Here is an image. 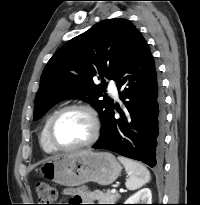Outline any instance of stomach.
I'll use <instances>...</instances> for the list:
<instances>
[{
  "mask_svg": "<svg viewBox=\"0 0 200 205\" xmlns=\"http://www.w3.org/2000/svg\"><path fill=\"white\" fill-rule=\"evenodd\" d=\"M121 170L113 154L92 150H77L56 156L44 162L40 168L46 179L67 187L90 181L109 185L118 178Z\"/></svg>",
  "mask_w": 200,
  "mask_h": 205,
  "instance_id": "obj_1",
  "label": "stomach"
}]
</instances>
